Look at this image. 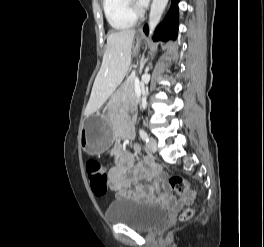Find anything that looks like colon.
Returning <instances> with one entry per match:
<instances>
[{
	"label": "colon",
	"mask_w": 264,
	"mask_h": 247,
	"mask_svg": "<svg viewBox=\"0 0 264 247\" xmlns=\"http://www.w3.org/2000/svg\"><path fill=\"white\" fill-rule=\"evenodd\" d=\"M86 173L89 177L93 192L98 196H104L108 190L109 176L105 168L98 162L90 160L86 163ZM169 187L177 194L184 197L190 203L195 198V193L189 191V183L181 176L175 175L168 181ZM193 215L191 208L185 209L180 216L182 221H186Z\"/></svg>",
	"instance_id": "obj_1"
}]
</instances>
